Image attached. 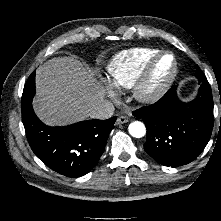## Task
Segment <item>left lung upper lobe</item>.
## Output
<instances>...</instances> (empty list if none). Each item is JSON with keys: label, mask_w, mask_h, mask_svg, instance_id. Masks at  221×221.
<instances>
[{"label": "left lung upper lobe", "mask_w": 221, "mask_h": 221, "mask_svg": "<svg viewBox=\"0 0 221 221\" xmlns=\"http://www.w3.org/2000/svg\"><path fill=\"white\" fill-rule=\"evenodd\" d=\"M196 74H197V77H199L200 75L203 74V72H202L201 70H197V71H196Z\"/></svg>", "instance_id": "5c2ea615"}]
</instances>
